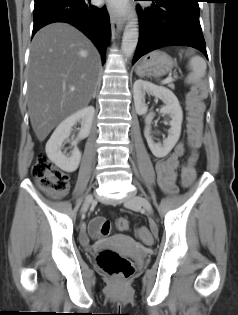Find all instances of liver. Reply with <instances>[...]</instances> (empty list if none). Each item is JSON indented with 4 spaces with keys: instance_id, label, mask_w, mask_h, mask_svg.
<instances>
[{
    "instance_id": "obj_1",
    "label": "liver",
    "mask_w": 238,
    "mask_h": 315,
    "mask_svg": "<svg viewBox=\"0 0 238 315\" xmlns=\"http://www.w3.org/2000/svg\"><path fill=\"white\" fill-rule=\"evenodd\" d=\"M100 63L91 41L69 24L52 23L36 33L28 66V112L39 141L89 104Z\"/></svg>"
}]
</instances>
